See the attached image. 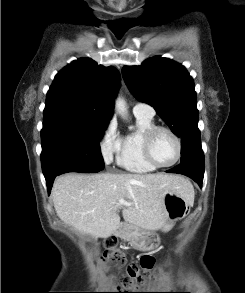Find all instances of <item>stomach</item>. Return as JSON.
Segmentation results:
<instances>
[{
    "instance_id": "1",
    "label": "stomach",
    "mask_w": 245,
    "mask_h": 293,
    "mask_svg": "<svg viewBox=\"0 0 245 293\" xmlns=\"http://www.w3.org/2000/svg\"><path fill=\"white\" fill-rule=\"evenodd\" d=\"M191 205L189 199L177 192L169 191L164 196V207L167 220L170 222L184 218ZM115 234L128 240L135 249L140 251L153 250L159 243V236L151 230L119 229Z\"/></svg>"
}]
</instances>
